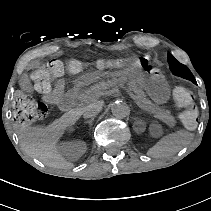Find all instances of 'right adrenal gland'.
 <instances>
[{
  "label": "right adrenal gland",
  "instance_id": "right-adrenal-gland-1",
  "mask_svg": "<svg viewBox=\"0 0 211 211\" xmlns=\"http://www.w3.org/2000/svg\"><path fill=\"white\" fill-rule=\"evenodd\" d=\"M93 121L94 118H91L89 121H86L85 124H89V127H91Z\"/></svg>",
  "mask_w": 211,
  "mask_h": 211
}]
</instances>
